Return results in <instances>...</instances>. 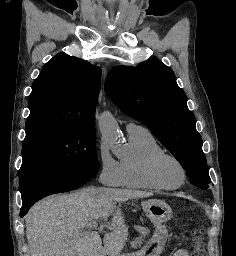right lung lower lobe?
Segmentation results:
<instances>
[{"mask_svg":"<svg viewBox=\"0 0 236 256\" xmlns=\"http://www.w3.org/2000/svg\"><path fill=\"white\" fill-rule=\"evenodd\" d=\"M91 178L84 173H74L42 180L28 186L21 191L22 208L20 210V216L23 217L31 206L43 197L74 190L85 184Z\"/></svg>","mask_w":236,"mask_h":256,"instance_id":"right-lung-lower-lobe-1","label":"right lung lower lobe"}]
</instances>
